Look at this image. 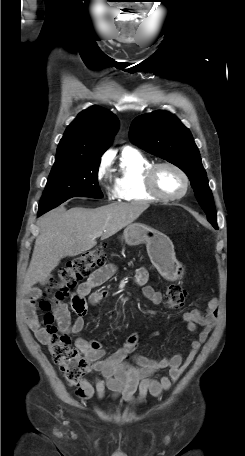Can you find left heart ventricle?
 Returning <instances> with one entry per match:
<instances>
[{"mask_svg":"<svg viewBox=\"0 0 245 456\" xmlns=\"http://www.w3.org/2000/svg\"><path fill=\"white\" fill-rule=\"evenodd\" d=\"M156 185L163 194L177 195L182 192L184 182L174 169L161 167L156 174Z\"/></svg>","mask_w":245,"mask_h":456,"instance_id":"1","label":"left heart ventricle"}]
</instances>
